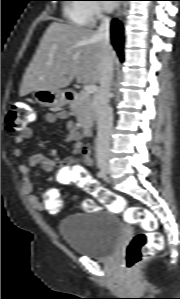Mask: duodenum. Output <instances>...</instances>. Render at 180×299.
Masks as SVG:
<instances>
[{
	"label": "duodenum",
	"mask_w": 180,
	"mask_h": 299,
	"mask_svg": "<svg viewBox=\"0 0 180 299\" xmlns=\"http://www.w3.org/2000/svg\"><path fill=\"white\" fill-rule=\"evenodd\" d=\"M66 96L68 100H73L75 92L70 90L66 93ZM82 131L85 136H90L93 133V127L90 124H83Z\"/></svg>",
	"instance_id": "duodenum-1"
}]
</instances>
